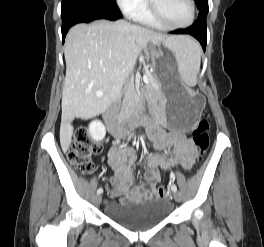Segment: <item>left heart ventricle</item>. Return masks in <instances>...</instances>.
<instances>
[{"label":"left heart ventricle","mask_w":264,"mask_h":247,"mask_svg":"<svg viewBox=\"0 0 264 247\" xmlns=\"http://www.w3.org/2000/svg\"><path fill=\"white\" fill-rule=\"evenodd\" d=\"M160 14L170 23L182 24L190 18L188 0H154Z\"/></svg>","instance_id":"obj_1"}]
</instances>
